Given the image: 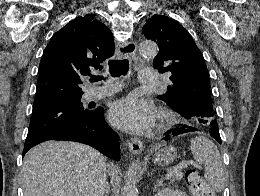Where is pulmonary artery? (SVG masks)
<instances>
[{"label":"pulmonary artery","mask_w":260,"mask_h":196,"mask_svg":"<svg viewBox=\"0 0 260 196\" xmlns=\"http://www.w3.org/2000/svg\"><path fill=\"white\" fill-rule=\"evenodd\" d=\"M139 84H155V69H140ZM119 90V85L93 86L86 90V100L95 101L107 97Z\"/></svg>","instance_id":"1"}]
</instances>
